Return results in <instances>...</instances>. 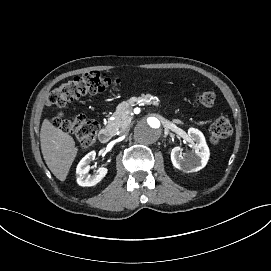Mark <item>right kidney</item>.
<instances>
[{
    "label": "right kidney",
    "instance_id": "obj_1",
    "mask_svg": "<svg viewBox=\"0 0 271 271\" xmlns=\"http://www.w3.org/2000/svg\"><path fill=\"white\" fill-rule=\"evenodd\" d=\"M96 152L91 151L84 156L76 168L77 183L80 186H94L99 183L107 174V168L100 167L93 175L88 174L90 162L95 159Z\"/></svg>",
    "mask_w": 271,
    "mask_h": 271
}]
</instances>
